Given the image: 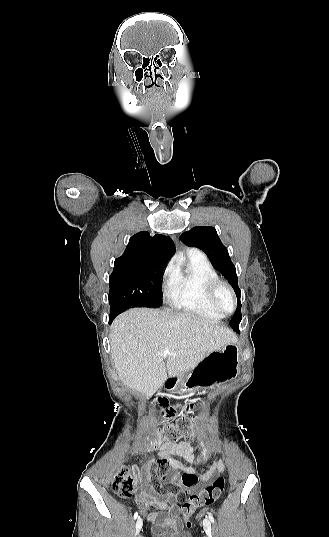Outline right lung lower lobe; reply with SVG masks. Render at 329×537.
Here are the masks:
<instances>
[{
  "label": "right lung lower lobe",
  "instance_id": "1",
  "mask_svg": "<svg viewBox=\"0 0 329 537\" xmlns=\"http://www.w3.org/2000/svg\"><path fill=\"white\" fill-rule=\"evenodd\" d=\"M113 317H109V323H111L113 321Z\"/></svg>",
  "mask_w": 329,
  "mask_h": 537
}]
</instances>
